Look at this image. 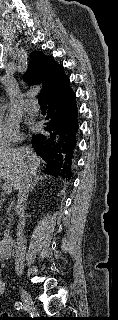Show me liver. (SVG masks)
I'll use <instances>...</instances> for the list:
<instances>
[{
  "label": "liver",
  "mask_w": 118,
  "mask_h": 320,
  "mask_svg": "<svg viewBox=\"0 0 118 320\" xmlns=\"http://www.w3.org/2000/svg\"><path fill=\"white\" fill-rule=\"evenodd\" d=\"M41 158L32 154L31 159H25L18 149H0V178L12 184L14 189H18L21 179L28 167L31 175H36L40 167Z\"/></svg>",
  "instance_id": "obj_1"
}]
</instances>
